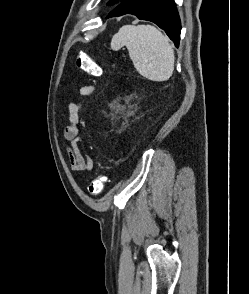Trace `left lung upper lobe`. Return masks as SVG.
Here are the masks:
<instances>
[{
  "instance_id": "1",
  "label": "left lung upper lobe",
  "mask_w": 249,
  "mask_h": 294,
  "mask_svg": "<svg viewBox=\"0 0 249 294\" xmlns=\"http://www.w3.org/2000/svg\"><path fill=\"white\" fill-rule=\"evenodd\" d=\"M115 1H117V0H112L111 2L108 3V5H114ZM122 1H124V0H119V2H122Z\"/></svg>"
}]
</instances>
